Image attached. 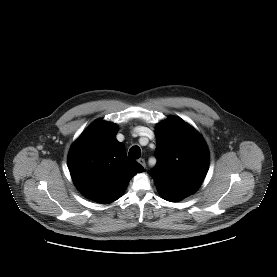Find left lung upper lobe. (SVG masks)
<instances>
[{
    "label": "left lung upper lobe",
    "instance_id": "left-lung-upper-lobe-1",
    "mask_svg": "<svg viewBox=\"0 0 277 277\" xmlns=\"http://www.w3.org/2000/svg\"><path fill=\"white\" fill-rule=\"evenodd\" d=\"M157 163L152 178L161 195L183 199L203 182L209 165L202 136L183 120L169 117L156 128Z\"/></svg>",
    "mask_w": 277,
    "mask_h": 277
}]
</instances>
